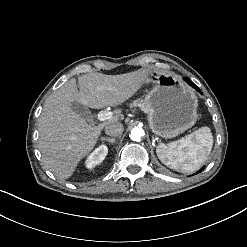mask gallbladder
<instances>
[{"label": "gallbladder", "instance_id": "bac80fb5", "mask_svg": "<svg viewBox=\"0 0 247 247\" xmlns=\"http://www.w3.org/2000/svg\"><path fill=\"white\" fill-rule=\"evenodd\" d=\"M70 108L86 121H90L91 112L85 105L78 102H73Z\"/></svg>", "mask_w": 247, "mask_h": 247}]
</instances>
